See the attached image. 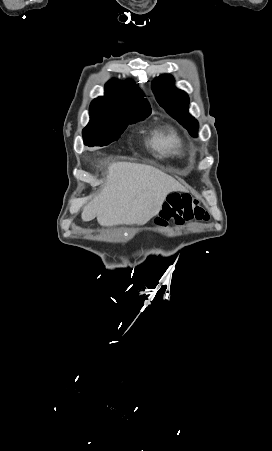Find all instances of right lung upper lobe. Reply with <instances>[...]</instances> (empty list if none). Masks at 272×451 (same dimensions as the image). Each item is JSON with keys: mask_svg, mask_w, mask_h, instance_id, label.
<instances>
[{"mask_svg": "<svg viewBox=\"0 0 272 451\" xmlns=\"http://www.w3.org/2000/svg\"><path fill=\"white\" fill-rule=\"evenodd\" d=\"M106 94L103 97L94 99L90 104V111H129L139 108H150L144 94L137 85L127 81L125 89L120 90L118 81L110 80L106 85Z\"/></svg>", "mask_w": 272, "mask_h": 451, "instance_id": "right-lung-upper-lobe-1", "label": "right lung upper lobe"}]
</instances>
